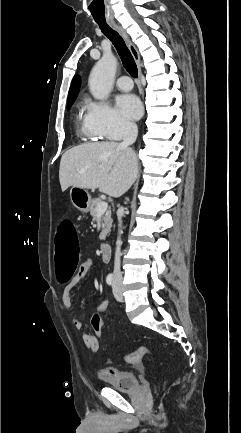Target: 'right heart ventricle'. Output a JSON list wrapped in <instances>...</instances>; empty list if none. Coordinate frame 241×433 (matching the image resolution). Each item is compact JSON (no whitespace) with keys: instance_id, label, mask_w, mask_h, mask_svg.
I'll list each match as a JSON object with an SVG mask.
<instances>
[{"instance_id":"obj_1","label":"right heart ventricle","mask_w":241,"mask_h":433,"mask_svg":"<svg viewBox=\"0 0 241 433\" xmlns=\"http://www.w3.org/2000/svg\"><path fill=\"white\" fill-rule=\"evenodd\" d=\"M82 130H83L84 133L90 134V133L88 132L86 126H85V122H84V121H83V123H82ZM90 135H91V134H90ZM91 137H92L93 140H97V139L99 138V137L92 136V135H91Z\"/></svg>"}]
</instances>
